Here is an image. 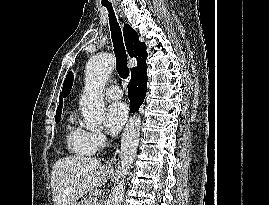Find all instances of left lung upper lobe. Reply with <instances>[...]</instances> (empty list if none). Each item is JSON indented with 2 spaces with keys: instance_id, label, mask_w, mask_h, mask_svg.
<instances>
[{
  "instance_id": "1",
  "label": "left lung upper lobe",
  "mask_w": 269,
  "mask_h": 205,
  "mask_svg": "<svg viewBox=\"0 0 269 205\" xmlns=\"http://www.w3.org/2000/svg\"><path fill=\"white\" fill-rule=\"evenodd\" d=\"M73 83V75L72 72H69L68 75L66 76L64 85H63V95L64 97L67 96L68 92L70 91Z\"/></svg>"
}]
</instances>
